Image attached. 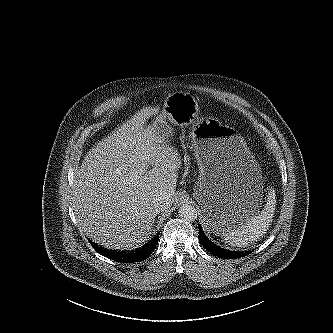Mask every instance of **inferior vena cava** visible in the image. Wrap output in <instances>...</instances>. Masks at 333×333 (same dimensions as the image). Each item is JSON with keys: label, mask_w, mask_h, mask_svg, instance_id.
<instances>
[{"label": "inferior vena cava", "mask_w": 333, "mask_h": 333, "mask_svg": "<svg viewBox=\"0 0 333 333\" xmlns=\"http://www.w3.org/2000/svg\"><path fill=\"white\" fill-rule=\"evenodd\" d=\"M154 208L157 213L165 211L170 208V202L164 196H156V198L154 199Z\"/></svg>", "instance_id": "inferior-vena-cava-1"}]
</instances>
